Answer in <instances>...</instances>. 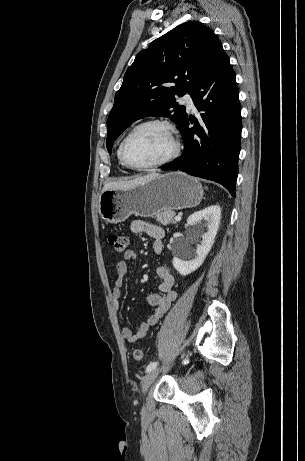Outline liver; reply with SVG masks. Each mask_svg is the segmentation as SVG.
Instances as JSON below:
<instances>
[{
    "label": "liver",
    "mask_w": 305,
    "mask_h": 461,
    "mask_svg": "<svg viewBox=\"0 0 305 461\" xmlns=\"http://www.w3.org/2000/svg\"><path fill=\"white\" fill-rule=\"evenodd\" d=\"M159 174L152 173L148 174L146 176L138 177L132 180H127V181H116V182H109L104 185L102 192L107 191V190H112V189H128V188H133L137 185L143 184L147 182L148 180H151L153 178L158 177Z\"/></svg>",
    "instance_id": "obj_1"
}]
</instances>
